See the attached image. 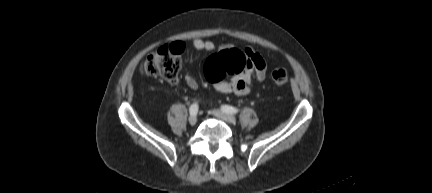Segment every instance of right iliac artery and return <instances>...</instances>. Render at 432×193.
I'll list each match as a JSON object with an SVG mask.
<instances>
[{
  "instance_id": "82829eb1",
  "label": "right iliac artery",
  "mask_w": 432,
  "mask_h": 193,
  "mask_svg": "<svg viewBox=\"0 0 432 193\" xmlns=\"http://www.w3.org/2000/svg\"><path fill=\"white\" fill-rule=\"evenodd\" d=\"M198 104L197 103H193L191 106H190V108H189V112H190V115H196L197 114V112H198Z\"/></svg>"
}]
</instances>
